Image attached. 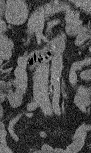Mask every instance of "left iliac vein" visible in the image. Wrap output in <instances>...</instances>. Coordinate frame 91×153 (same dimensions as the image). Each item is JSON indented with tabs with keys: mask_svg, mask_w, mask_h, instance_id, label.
Here are the masks:
<instances>
[{
	"mask_svg": "<svg viewBox=\"0 0 91 153\" xmlns=\"http://www.w3.org/2000/svg\"><path fill=\"white\" fill-rule=\"evenodd\" d=\"M41 109H42V111H43V113L45 114V115H51L52 114V112H53V108H52V105H51V103H50V100H49V97H48V95H45L44 97H43V103H42V105H41Z\"/></svg>",
	"mask_w": 91,
	"mask_h": 153,
	"instance_id": "4c4485c4",
	"label": "left iliac vein"
}]
</instances>
